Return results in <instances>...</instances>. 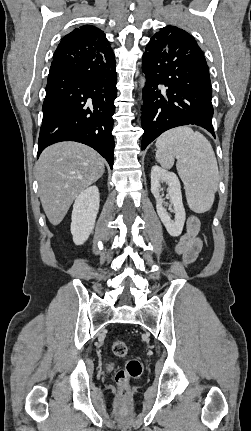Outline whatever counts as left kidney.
Wrapping results in <instances>:
<instances>
[{"mask_svg":"<svg viewBox=\"0 0 251 431\" xmlns=\"http://www.w3.org/2000/svg\"><path fill=\"white\" fill-rule=\"evenodd\" d=\"M161 182L168 184V195L175 214L174 220L163 207V199L160 197ZM151 193L156 199L157 213L166 230L173 237L179 236L183 230L186 214L182 202L181 185L176 174L154 165L151 168Z\"/></svg>","mask_w":251,"mask_h":431,"instance_id":"1","label":"left kidney"}]
</instances>
